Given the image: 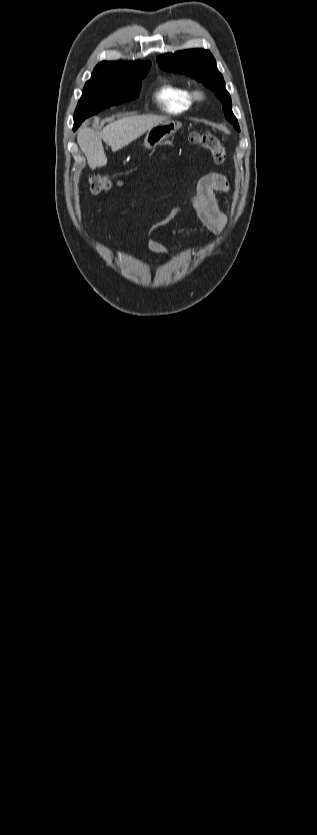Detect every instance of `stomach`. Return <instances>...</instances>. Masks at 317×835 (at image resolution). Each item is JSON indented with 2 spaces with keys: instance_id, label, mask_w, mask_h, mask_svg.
<instances>
[{
  "instance_id": "obj_1",
  "label": "stomach",
  "mask_w": 317,
  "mask_h": 835,
  "mask_svg": "<svg viewBox=\"0 0 317 835\" xmlns=\"http://www.w3.org/2000/svg\"><path fill=\"white\" fill-rule=\"evenodd\" d=\"M182 124L175 120H165L151 127L146 134L144 145L147 149H155L162 141L172 136Z\"/></svg>"
}]
</instances>
